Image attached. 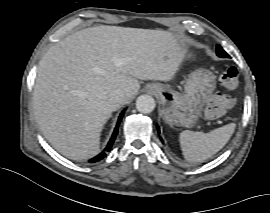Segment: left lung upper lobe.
<instances>
[{"instance_id":"obj_1","label":"left lung upper lobe","mask_w":270,"mask_h":213,"mask_svg":"<svg viewBox=\"0 0 270 213\" xmlns=\"http://www.w3.org/2000/svg\"><path fill=\"white\" fill-rule=\"evenodd\" d=\"M216 53L221 58H228L229 55L222 49L220 45H217Z\"/></svg>"}]
</instances>
